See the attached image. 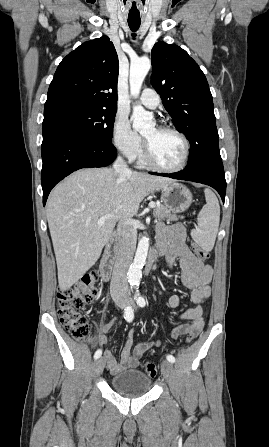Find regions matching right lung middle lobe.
I'll return each instance as SVG.
<instances>
[{
  "label": "right lung middle lobe",
  "mask_w": 269,
  "mask_h": 447,
  "mask_svg": "<svg viewBox=\"0 0 269 447\" xmlns=\"http://www.w3.org/2000/svg\"><path fill=\"white\" fill-rule=\"evenodd\" d=\"M115 115L116 108L65 106L44 114V117L64 119L87 135L112 143Z\"/></svg>",
  "instance_id": "right-lung-middle-lobe-1"
}]
</instances>
